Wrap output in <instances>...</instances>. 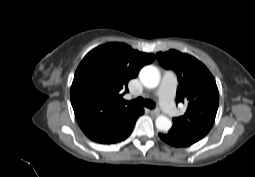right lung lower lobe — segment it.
<instances>
[{
    "label": "right lung lower lobe",
    "mask_w": 255,
    "mask_h": 177,
    "mask_svg": "<svg viewBox=\"0 0 255 177\" xmlns=\"http://www.w3.org/2000/svg\"><path fill=\"white\" fill-rule=\"evenodd\" d=\"M143 113V108H134L115 117L86 136L100 144H114L123 141L131 134L137 118Z\"/></svg>",
    "instance_id": "98d812e1"
}]
</instances>
